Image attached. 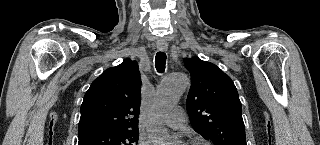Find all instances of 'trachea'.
<instances>
[{
	"label": "trachea",
	"mask_w": 320,
	"mask_h": 145,
	"mask_svg": "<svg viewBox=\"0 0 320 145\" xmlns=\"http://www.w3.org/2000/svg\"><path fill=\"white\" fill-rule=\"evenodd\" d=\"M165 65H166V54L163 51L157 52L156 57H155L156 70L159 73L164 72L165 71Z\"/></svg>",
	"instance_id": "trachea-1"
}]
</instances>
